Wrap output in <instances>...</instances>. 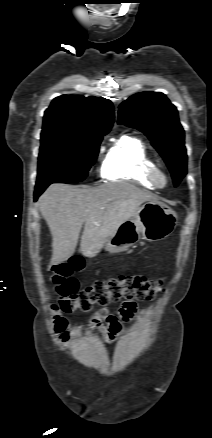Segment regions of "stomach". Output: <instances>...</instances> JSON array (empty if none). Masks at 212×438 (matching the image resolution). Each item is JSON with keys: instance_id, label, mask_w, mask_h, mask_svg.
<instances>
[{"instance_id": "obj_1", "label": "stomach", "mask_w": 212, "mask_h": 438, "mask_svg": "<svg viewBox=\"0 0 212 438\" xmlns=\"http://www.w3.org/2000/svg\"><path fill=\"white\" fill-rule=\"evenodd\" d=\"M177 225V214L165 203L154 200L141 205L135 215L121 224L115 234L108 238L105 249L120 253L140 239L156 242L171 235Z\"/></svg>"}]
</instances>
